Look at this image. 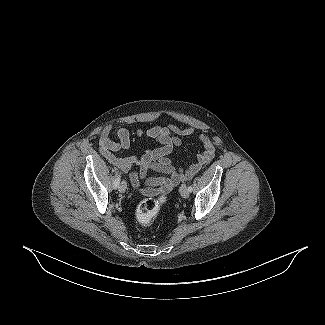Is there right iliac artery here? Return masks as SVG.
<instances>
[{"label":"right iliac artery","mask_w":325,"mask_h":325,"mask_svg":"<svg viewBox=\"0 0 325 325\" xmlns=\"http://www.w3.org/2000/svg\"><path fill=\"white\" fill-rule=\"evenodd\" d=\"M120 180H121V176L118 175L115 182H114V188L115 189L119 186Z\"/></svg>","instance_id":"right-iliac-artery-1"}]
</instances>
